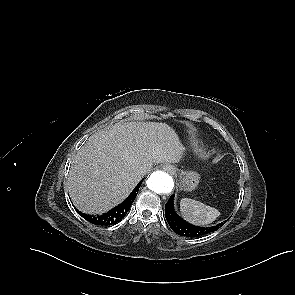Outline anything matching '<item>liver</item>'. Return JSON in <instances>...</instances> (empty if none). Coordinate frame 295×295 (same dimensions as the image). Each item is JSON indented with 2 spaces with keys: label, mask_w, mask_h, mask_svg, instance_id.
<instances>
[{
  "label": "liver",
  "mask_w": 295,
  "mask_h": 295,
  "mask_svg": "<svg viewBox=\"0 0 295 295\" xmlns=\"http://www.w3.org/2000/svg\"><path fill=\"white\" fill-rule=\"evenodd\" d=\"M184 150L165 123H115L89 137L75 155L71 199L82 212L102 214L124 201L154 164L178 163Z\"/></svg>",
  "instance_id": "obj_1"
}]
</instances>
